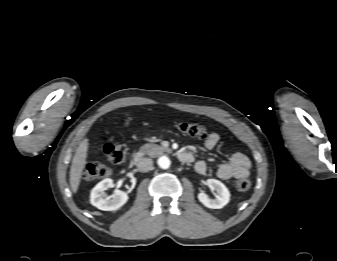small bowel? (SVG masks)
<instances>
[{"mask_svg": "<svg viewBox=\"0 0 337 261\" xmlns=\"http://www.w3.org/2000/svg\"><path fill=\"white\" fill-rule=\"evenodd\" d=\"M219 142V135L215 132H209L205 139V147L207 149H213ZM193 161V156H192ZM251 169V161L249 158L240 152L234 153L228 162L221 164L216 172L218 178L222 180H228L231 178H245L249 175ZM195 170L199 174H205L207 172V164L205 161L199 160L195 164Z\"/></svg>", "mask_w": 337, "mask_h": 261, "instance_id": "small-bowel-1", "label": "small bowel"}]
</instances>
